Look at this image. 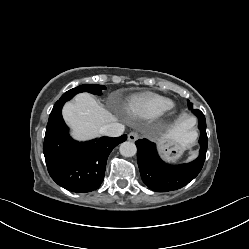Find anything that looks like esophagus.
Here are the masks:
<instances>
[{
    "instance_id": "34e87169",
    "label": "esophagus",
    "mask_w": 249,
    "mask_h": 249,
    "mask_svg": "<svg viewBox=\"0 0 249 249\" xmlns=\"http://www.w3.org/2000/svg\"><path fill=\"white\" fill-rule=\"evenodd\" d=\"M138 138H139V134L136 131H132L128 135V140L132 142H135Z\"/></svg>"
}]
</instances>
